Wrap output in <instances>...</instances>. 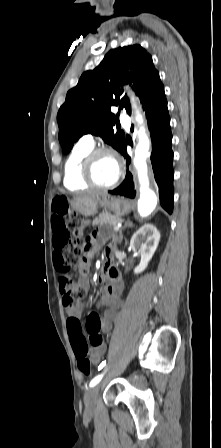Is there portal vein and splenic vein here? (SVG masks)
I'll return each mask as SVG.
<instances>
[{"instance_id":"portal-vein-and-splenic-vein-1","label":"portal vein and splenic vein","mask_w":221,"mask_h":448,"mask_svg":"<svg viewBox=\"0 0 221 448\" xmlns=\"http://www.w3.org/2000/svg\"><path fill=\"white\" fill-rule=\"evenodd\" d=\"M121 226H122V224H121V223H118V224L114 227V230H115V231H118V230L121 228Z\"/></svg>"}]
</instances>
